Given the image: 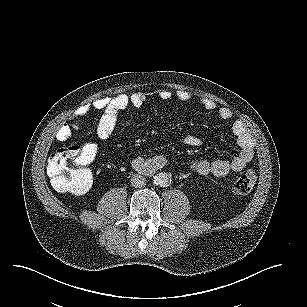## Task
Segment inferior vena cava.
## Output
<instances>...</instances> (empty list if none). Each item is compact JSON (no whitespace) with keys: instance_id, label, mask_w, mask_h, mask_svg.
Returning <instances> with one entry per match:
<instances>
[{"instance_id":"inferior-vena-cava-1","label":"inferior vena cava","mask_w":307,"mask_h":307,"mask_svg":"<svg viewBox=\"0 0 307 307\" xmlns=\"http://www.w3.org/2000/svg\"><path fill=\"white\" fill-rule=\"evenodd\" d=\"M131 186L135 188H141L146 184V178L140 174H134L130 179Z\"/></svg>"}]
</instances>
